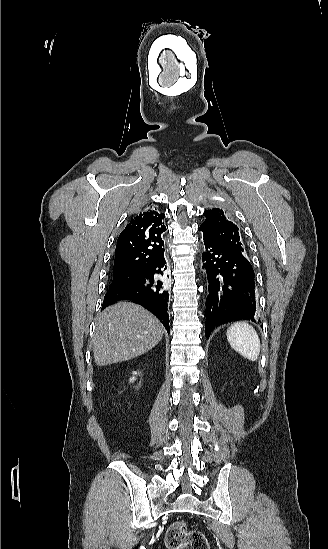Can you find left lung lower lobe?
I'll return each instance as SVG.
<instances>
[{"label": "left lung lower lobe", "mask_w": 328, "mask_h": 549, "mask_svg": "<svg viewBox=\"0 0 328 549\" xmlns=\"http://www.w3.org/2000/svg\"><path fill=\"white\" fill-rule=\"evenodd\" d=\"M202 254L208 279L205 334L224 323L257 321L254 271L241 253L203 237Z\"/></svg>", "instance_id": "left-lung-lower-lobe-1"}]
</instances>
